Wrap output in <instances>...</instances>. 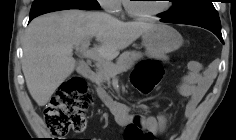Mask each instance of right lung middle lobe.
<instances>
[{
    "label": "right lung middle lobe",
    "mask_w": 236,
    "mask_h": 140,
    "mask_svg": "<svg viewBox=\"0 0 236 140\" xmlns=\"http://www.w3.org/2000/svg\"><path fill=\"white\" fill-rule=\"evenodd\" d=\"M99 8L100 5L96 0H34L30 16L66 9L97 10Z\"/></svg>",
    "instance_id": "obj_1"
}]
</instances>
